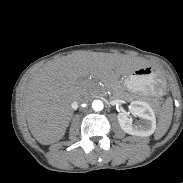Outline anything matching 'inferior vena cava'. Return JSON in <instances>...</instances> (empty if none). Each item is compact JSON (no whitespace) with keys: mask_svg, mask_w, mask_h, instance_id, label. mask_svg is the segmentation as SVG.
<instances>
[{"mask_svg":"<svg viewBox=\"0 0 183 183\" xmlns=\"http://www.w3.org/2000/svg\"><path fill=\"white\" fill-rule=\"evenodd\" d=\"M87 101H88V97L87 96H84V97L79 99V102H81V103H84V102H87Z\"/></svg>","mask_w":183,"mask_h":183,"instance_id":"inferior-vena-cava-1","label":"inferior vena cava"}]
</instances>
